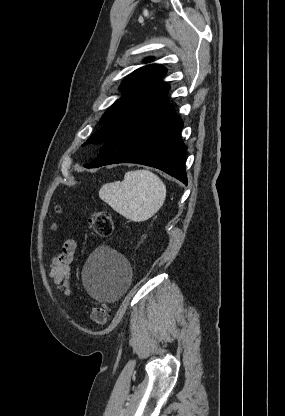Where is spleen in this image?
Here are the masks:
<instances>
[{"mask_svg": "<svg viewBox=\"0 0 285 416\" xmlns=\"http://www.w3.org/2000/svg\"><path fill=\"white\" fill-rule=\"evenodd\" d=\"M99 196L127 220L145 222L163 206L166 186L153 172L136 170L126 172L123 182L104 184Z\"/></svg>", "mask_w": 285, "mask_h": 416, "instance_id": "1", "label": "spleen"}]
</instances>
